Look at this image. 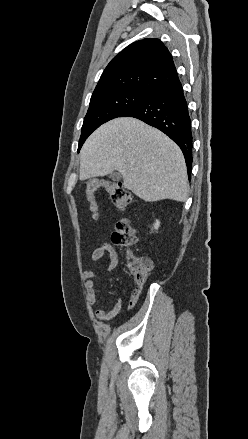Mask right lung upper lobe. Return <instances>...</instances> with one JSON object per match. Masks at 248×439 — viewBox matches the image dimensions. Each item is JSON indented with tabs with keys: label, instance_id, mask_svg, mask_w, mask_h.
<instances>
[{
	"label": "right lung upper lobe",
	"instance_id": "1",
	"mask_svg": "<svg viewBox=\"0 0 248 439\" xmlns=\"http://www.w3.org/2000/svg\"><path fill=\"white\" fill-rule=\"evenodd\" d=\"M178 79L172 55L158 39L136 41L103 71L91 99L118 91L151 94Z\"/></svg>",
	"mask_w": 248,
	"mask_h": 439
}]
</instances>
